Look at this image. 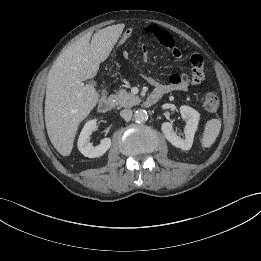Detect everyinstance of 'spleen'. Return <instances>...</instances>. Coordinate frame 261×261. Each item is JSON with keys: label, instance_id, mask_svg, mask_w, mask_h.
<instances>
[{"label": "spleen", "instance_id": "3e777b00", "mask_svg": "<svg viewBox=\"0 0 261 261\" xmlns=\"http://www.w3.org/2000/svg\"><path fill=\"white\" fill-rule=\"evenodd\" d=\"M221 130V121L219 119L208 120L201 139L203 148L210 147L216 140Z\"/></svg>", "mask_w": 261, "mask_h": 261}]
</instances>
